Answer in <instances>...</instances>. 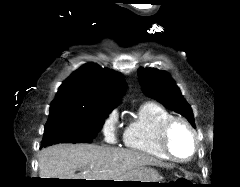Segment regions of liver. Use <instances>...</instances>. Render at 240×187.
Segmentation results:
<instances>
[{"label":"liver","mask_w":240,"mask_h":187,"mask_svg":"<svg viewBox=\"0 0 240 187\" xmlns=\"http://www.w3.org/2000/svg\"><path fill=\"white\" fill-rule=\"evenodd\" d=\"M38 157L40 178L115 180L147 165L162 166L139 152L94 144H57Z\"/></svg>","instance_id":"6515ba94"}]
</instances>
